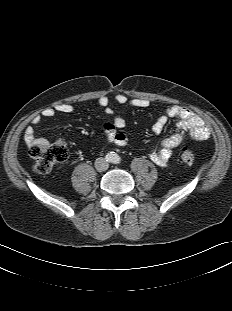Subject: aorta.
<instances>
[{"mask_svg": "<svg viewBox=\"0 0 232 311\" xmlns=\"http://www.w3.org/2000/svg\"><path fill=\"white\" fill-rule=\"evenodd\" d=\"M107 158L110 162H115L118 159V155L115 152H110L108 153Z\"/></svg>", "mask_w": 232, "mask_h": 311, "instance_id": "obj_1", "label": "aorta"}]
</instances>
